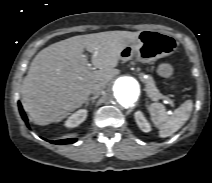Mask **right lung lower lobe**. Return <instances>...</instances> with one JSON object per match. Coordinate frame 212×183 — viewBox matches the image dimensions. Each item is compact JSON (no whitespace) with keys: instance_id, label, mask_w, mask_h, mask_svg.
<instances>
[{"instance_id":"right-lung-lower-lobe-1","label":"right lung lower lobe","mask_w":212,"mask_h":183,"mask_svg":"<svg viewBox=\"0 0 212 183\" xmlns=\"http://www.w3.org/2000/svg\"><path fill=\"white\" fill-rule=\"evenodd\" d=\"M18 106H19V111H20V114L23 118V120L27 123V117L22 109V106L20 103H18ZM55 144H71V143H74L76 142V139H64V140H58V141H51Z\"/></svg>"}]
</instances>
